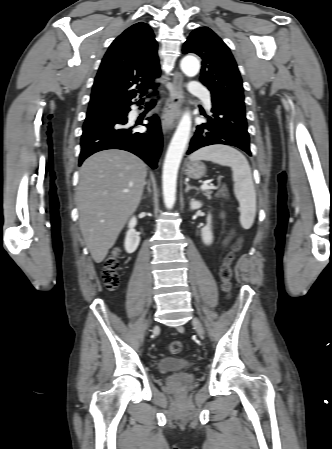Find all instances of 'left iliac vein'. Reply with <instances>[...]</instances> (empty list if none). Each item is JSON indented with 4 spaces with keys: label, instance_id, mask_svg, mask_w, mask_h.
I'll return each instance as SVG.
<instances>
[{
    "label": "left iliac vein",
    "instance_id": "1",
    "mask_svg": "<svg viewBox=\"0 0 332 449\" xmlns=\"http://www.w3.org/2000/svg\"><path fill=\"white\" fill-rule=\"evenodd\" d=\"M192 324H193V326H194L196 332L198 333V335H199L200 337H202V336L204 335V329H203V326H202L200 320H199L198 318L195 317V318H193V320H192Z\"/></svg>",
    "mask_w": 332,
    "mask_h": 449
}]
</instances>
